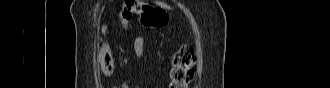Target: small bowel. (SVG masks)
I'll use <instances>...</instances> for the list:
<instances>
[{"instance_id": "c3829d8e", "label": "small bowel", "mask_w": 330, "mask_h": 88, "mask_svg": "<svg viewBox=\"0 0 330 88\" xmlns=\"http://www.w3.org/2000/svg\"><path fill=\"white\" fill-rule=\"evenodd\" d=\"M144 46H145L144 37L143 36L135 37V39L133 41V47H134L135 54L139 59H144L145 58ZM119 87L127 88V85L123 83Z\"/></svg>"}]
</instances>
